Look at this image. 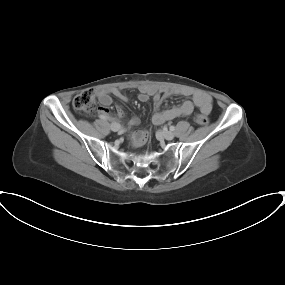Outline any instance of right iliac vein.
I'll return each instance as SVG.
<instances>
[{
    "label": "right iliac vein",
    "mask_w": 285,
    "mask_h": 285,
    "mask_svg": "<svg viewBox=\"0 0 285 285\" xmlns=\"http://www.w3.org/2000/svg\"><path fill=\"white\" fill-rule=\"evenodd\" d=\"M111 130L114 131V132L120 131V130H121L120 124H118V123H112V124H111Z\"/></svg>",
    "instance_id": "right-iliac-vein-1"
}]
</instances>
